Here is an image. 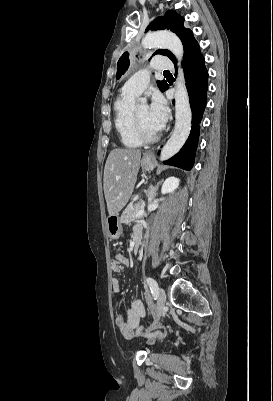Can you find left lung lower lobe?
<instances>
[{"label": "left lung lower lobe", "mask_w": 273, "mask_h": 401, "mask_svg": "<svg viewBox=\"0 0 273 401\" xmlns=\"http://www.w3.org/2000/svg\"><path fill=\"white\" fill-rule=\"evenodd\" d=\"M176 65V60H173ZM183 68L186 79V87L189 94L192 110V127L190 135L183 148L172 158L165 161L167 165H173L185 170H191L194 164L195 152L198 145L200 122L207 103L208 71L204 64V57L196 42L184 51ZM168 89V85L165 90ZM164 90V91H165ZM174 102V101H173Z\"/></svg>", "instance_id": "1"}]
</instances>
